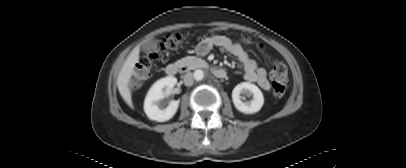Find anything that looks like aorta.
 <instances>
[{
    "label": "aorta",
    "mask_w": 406,
    "mask_h": 168,
    "mask_svg": "<svg viewBox=\"0 0 406 168\" xmlns=\"http://www.w3.org/2000/svg\"><path fill=\"white\" fill-rule=\"evenodd\" d=\"M194 78L196 81H201L204 78V72L200 69L194 72Z\"/></svg>",
    "instance_id": "762f6f07"
}]
</instances>
